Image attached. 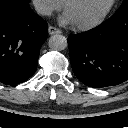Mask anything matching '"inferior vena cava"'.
<instances>
[{
  "mask_svg": "<svg viewBox=\"0 0 128 128\" xmlns=\"http://www.w3.org/2000/svg\"><path fill=\"white\" fill-rule=\"evenodd\" d=\"M36 11L41 15H51L52 14V8L45 4V3H36L35 4Z\"/></svg>",
  "mask_w": 128,
  "mask_h": 128,
  "instance_id": "obj_1",
  "label": "inferior vena cava"
}]
</instances>
